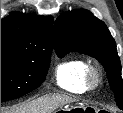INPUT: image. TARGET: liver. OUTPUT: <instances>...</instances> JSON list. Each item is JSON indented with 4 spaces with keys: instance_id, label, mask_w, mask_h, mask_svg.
I'll list each match as a JSON object with an SVG mask.
<instances>
[{
    "instance_id": "6515ba94",
    "label": "liver",
    "mask_w": 123,
    "mask_h": 113,
    "mask_svg": "<svg viewBox=\"0 0 123 113\" xmlns=\"http://www.w3.org/2000/svg\"><path fill=\"white\" fill-rule=\"evenodd\" d=\"M70 102H72V99L66 96H44L15 107L8 113H52L57 108Z\"/></svg>"
}]
</instances>
